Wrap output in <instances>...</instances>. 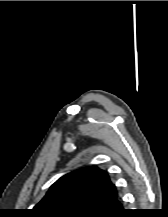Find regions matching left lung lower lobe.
Instances as JSON below:
<instances>
[{
	"instance_id": "obj_1",
	"label": "left lung lower lobe",
	"mask_w": 168,
	"mask_h": 217,
	"mask_svg": "<svg viewBox=\"0 0 168 217\" xmlns=\"http://www.w3.org/2000/svg\"><path fill=\"white\" fill-rule=\"evenodd\" d=\"M126 210L123 209L121 198L118 197L100 217H125Z\"/></svg>"
}]
</instances>
